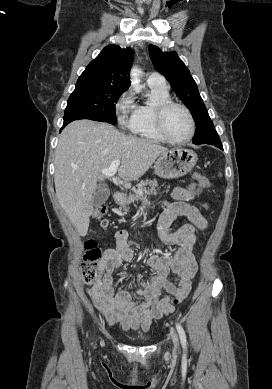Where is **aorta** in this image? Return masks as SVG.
I'll return each mask as SVG.
<instances>
[{
  "label": "aorta",
  "instance_id": "aorta-1",
  "mask_svg": "<svg viewBox=\"0 0 272 389\" xmlns=\"http://www.w3.org/2000/svg\"><path fill=\"white\" fill-rule=\"evenodd\" d=\"M141 70L137 66H133L130 72L131 84L136 92H140L142 86L140 85Z\"/></svg>",
  "mask_w": 272,
  "mask_h": 389
}]
</instances>
